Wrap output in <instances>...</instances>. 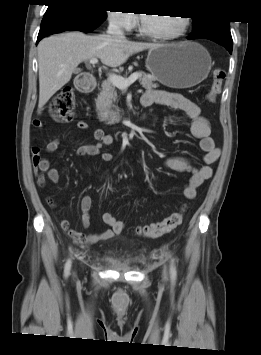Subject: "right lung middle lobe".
<instances>
[{
    "instance_id": "right-lung-middle-lobe-1",
    "label": "right lung middle lobe",
    "mask_w": 261,
    "mask_h": 355,
    "mask_svg": "<svg viewBox=\"0 0 261 355\" xmlns=\"http://www.w3.org/2000/svg\"><path fill=\"white\" fill-rule=\"evenodd\" d=\"M92 1L93 0H81L76 2L59 3L58 5L69 6L89 15L92 18L105 20L107 17L106 11Z\"/></svg>"
}]
</instances>
